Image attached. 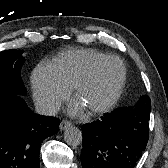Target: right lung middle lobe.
Wrapping results in <instances>:
<instances>
[{"mask_svg": "<svg viewBox=\"0 0 168 168\" xmlns=\"http://www.w3.org/2000/svg\"><path fill=\"white\" fill-rule=\"evenodd\" d=\"M22 51L6 50L0 52V91L25 95L26 89L20 76L25 62Z\"/></svg>", "mask_w": 168, "mask_h": 168, "instance_id": "dd1d6c3e", "label": "right lung middle lobe"}]
</instances>
